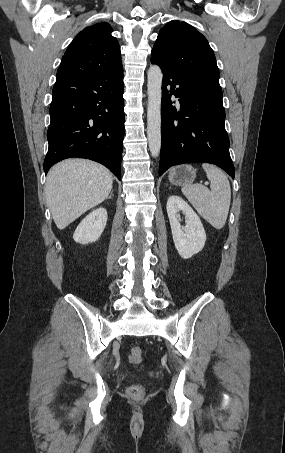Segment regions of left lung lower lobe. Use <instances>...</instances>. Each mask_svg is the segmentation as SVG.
<instances>
[{
    "mask_svg": "<svg viewBox=\"0 0 285 453\" xmlns=\"http://www.w3.org/2000/svg\"><path fill=\"white\" fill-rule=\"evenodd\" d=\"M151 62L163 70L159 175L174 165L202 162L215 164L234 177L222 95L190 77L164 69L153 58ZM168 92L179 98V109L172 106Z\"/></svg>",
    "mask_w": 285,
    "mask_h": 453,
    "instance_id": "0a47b994",
    "label": "left lung lower lobe"
}]
</instances>
